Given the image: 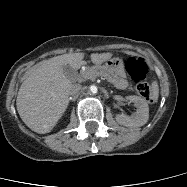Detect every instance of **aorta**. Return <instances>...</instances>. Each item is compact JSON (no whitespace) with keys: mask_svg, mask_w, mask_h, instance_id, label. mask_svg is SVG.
I'll list each match as a JSON object with an SVG mask.
<instances>
[{"mask_svg":"<svg viewBox=\"0 0 187 187\" xmlns=\"http://www.w3.org/2000/svg\"><path fill=\"white\" fill-rule=\"evenodd\" d=\"M90 91L94 94V93H97V87L96 86H91L90 87Z\"/></svg>","mask_w":187,"mask_h":187,"instance_id":"obj_1","label":"aorta"}]
</instances>
